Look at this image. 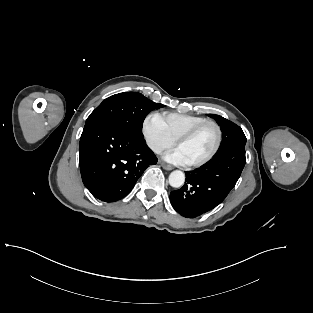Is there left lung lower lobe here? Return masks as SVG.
<instances>
[{
	"instance_id": "0a47b994",
	"label": "left lung lower lobe",
	"mask_w": 313,
	"mask_h": 313,
	"mask_svg": "<svg viewBox=\"0 0 313 313\" xmlns=\"http://www.w3.org/2000/svg\"><path fill=\"white\" fill-rule=\"evenodd\" d=\"M245 162V147L237 146L216 154L200 168L186 172L184 186L170 193L173 208L187 218L215 208L235 186Z\"/></svg>"
}]
</instances>
